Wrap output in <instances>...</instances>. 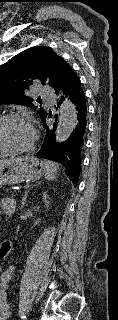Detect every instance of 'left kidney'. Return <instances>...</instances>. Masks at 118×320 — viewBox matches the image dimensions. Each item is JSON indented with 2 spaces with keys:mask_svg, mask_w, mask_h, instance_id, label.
Masks as SVG:
<instances>
[{
  "mask_svg": "<svg viewBox=\"0 0 118 320\" xmlns=\"http://www.w3.org/2000/svg\"><path fill=\"white\" fill-rule=\"evenodd\" d=\"M48 199H49V197H48V195L46 194V192L43 193V201H44L47 205H49Z\"/></svg>",
  "mask_w": 118,
  "mask_h": 320,
  "instance_id": "5707ae66",
  "label": "left kidney"
}]
</instances>
